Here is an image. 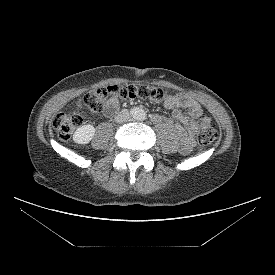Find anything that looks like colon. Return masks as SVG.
Returning <instances> with one entry per match:
<instances>
[{
  "mask_svg": "<svg viewBox=\"0 0 275 275\" xmlns=\"http://www.w3.org/2000/svg\"><path fill=\"white\" fill-rule=\"evenodd\" d=\"M167 93L159 87L133 84L126 86L110 85L100 87L90 91L79 102L93 113L102 111L106 102L111 98L120 101L149 100L152 102L165 101ZM85 119L80 114L59 113L53 119V127L57 131L60 139L67 140L71 137L74 130L83 125ZM217 133L210 125L209 120L203 118L198 123L197 142L200 150L205 149L215 139Z\"/></svg>",
  "mask_w": 275,
  "mask_h": 275,
  "instance_id": "colon-1",
  "label": "colon"
}]
</instances>
